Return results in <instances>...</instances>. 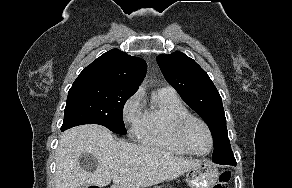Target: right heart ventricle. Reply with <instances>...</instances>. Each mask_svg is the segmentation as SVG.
Returning <instances> with one entry per match:
<instances>
[{"instance_id": "obj_1", "label": "right heart ventricle", "mask_w": 292, "mask_h": 188, "mask_svg": "<svg viewBox=\"0 0 292 188\" xmlns=\"http://www.w3.org/2000/svg\"><path fill=\"white\" fill-rule=\"evenodd\" d=\"M187 114L188 109L175 91L164 88L157 90L151 97L150 105L141 113L140 123L135 130L137 140L175 155H187L174 136L176 120Z\"/></svg>"}]
</instances>
